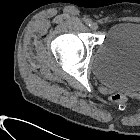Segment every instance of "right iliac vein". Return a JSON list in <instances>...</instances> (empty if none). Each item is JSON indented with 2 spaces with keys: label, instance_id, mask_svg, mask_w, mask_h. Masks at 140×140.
I'll list each match as a JSON object with an SVG mask.
<instances>
[{
  "label": "right iliac vein",
  "instance_id": "right-iliac-vein-1",
  "mask_svg": "<svg viewBox=\"0 0 140 140\" xmlns=\"http://www.w3.org/2000/svg\"><path fill=\"white\" fill-rule=\"evenodd\" d=\"M91 30L96 31L98 29V24L93 22L90 26Z\"/></svg>",
  "mask_w": 140,
  "mask_h": 140
}]
</instances>
